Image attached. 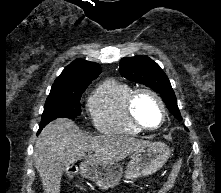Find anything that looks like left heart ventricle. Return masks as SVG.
Returning <instances> with one entry per match:
<instances>
[{"label": "left heart ventricle", "instance_id": "left-heart-ventricle-1", "mask_svg": "<svg viewBox=\"0 0 221 193\" xmlns=\"http://www.w3.org/2000/svg\"><path fill=\"white\" fill-rule=\"evenodd\" d=\"M135 113L138 119L149 127H155L161 119V111L156 100L149 95H142L136 102Z\"/></svg>", "mask_w": 221, "mask_h": 193}]
</instances>
